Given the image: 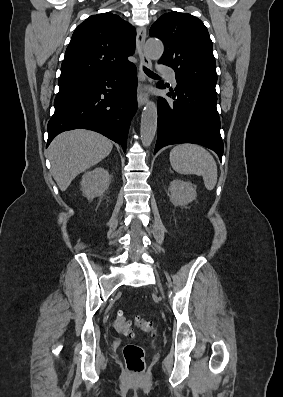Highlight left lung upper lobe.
<instances>
[{"mask_svg": "<svg viewBox=\"0 0 283 397\" xmlns=\"http://www.w3.org/2000/svg\"><path fill=\"white\" fill-rule=\"evenodd\" d=\"M149 34L164 43L159 63L173 68L178 82L216 94L212 41L200 19L188 13H165L151 26Z\"/></svg>", "mask_w": 283, "mask_h": 397, "instance_id": "obj_1", "label": "left lung upper lobe"}]
</instances>
